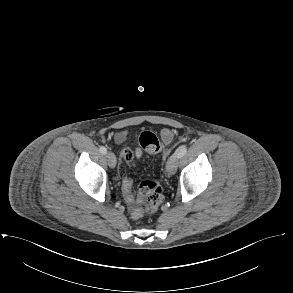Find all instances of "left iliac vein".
<instances>
[{"mask_svg": "<svg viewBox=\"0 0 293 293\" xmlns=\"http://www.w3.org/2000/svg\"><path fill=\"white\" fill-rule=\"evenodd\" d=\"M178 160L179 158L176 153L171 155L168 159L166 163V171L169 175H174L176 173Z\"/></svg>", "mask_w": 293, "mask_h": 293, "instance_id": "1", "label": "left iliac vein"}]
</instances>
